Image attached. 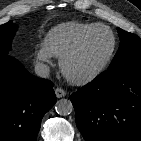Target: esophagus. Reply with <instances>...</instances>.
Listing matches in <instances>:
<instances>
[{
    "label": "esophagus",
    "mask_w": 141,
    "mask_h": 141,
    "mask_svg": "<svg viewBox=\"0 0 141 141\" xmlns=\"http://www.w3.org/2000/svg\"><path fill=\"white\" fill-rule=\"evenodd\" d=\"M55 94L57 98H62L66 95V91L58 87L55 89Z\"/></svg>",
    "instance_id": "obj_1"
}]
</instances>
